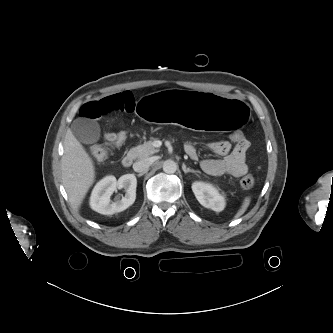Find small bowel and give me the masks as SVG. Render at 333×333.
I'll use <instances>...</instances> for the list:
<instances>
[{
	"label": "small bowel",
	"instance_id": "obj_1",
	"mask_svg": "<svg viewBox=\"0 0 333 333\" xmlns=\"http://www.w3.org/2000/svg\"><path fill=\"white\" fill-rule=\"evenodd\" d=\"M135 106V99L132 93L125 91L99 100L89 101L80 107L79 114L84 120H96L113 111L132 112ZM113 136L114 133H109L107 140L111 142ZM249 147L250 143L248 140L236 143L233 147L229 143L222 141L210 143L209 148L215 154L222 156V158L203 159L201 167L207 174L212 176L229 174L234 177H241L248 170L246 154ZM185 152L192 159L198 158L197 149L193 144H187Z\"/></svg>",
	"mask_w": 333,
	"mask_h": 333
}]
</instances>
